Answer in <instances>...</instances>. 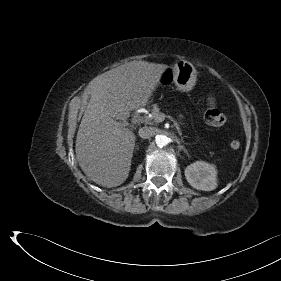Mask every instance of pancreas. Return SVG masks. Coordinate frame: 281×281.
I'll return each instance as SVG.
<instances>
[{"label": "pancreas", "instance_id": "pancreas-1", "mask_svg": "<svg viewBox=\"0 0 281 281\" xmlns=\"http://www.w3.org/2000/svg\"><path fill=\"white\" fill-rule=\"evenodd\" d=\"M163 114L160 112V109H159V107L156 105V104H154L153 105V108H152V110H151V117H148V116H146L145 118H144V122L146 123V124H157V123H159V122H161L160 120H159V118L162 116Z\"/></svg>", "mask_w": 281, "mask_h": 281}]
</instances>
